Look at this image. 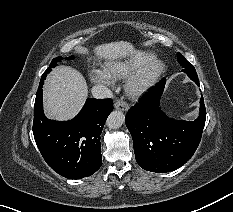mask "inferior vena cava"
<instances>
[{
	"label": "inferior vena cava",
	"instance_id": "1",
	"mask_svg": "<svg viewBox=\"0 0 233 212\" xmlns=\"http://www.w3.org/2000/svg\"><path fill=\"white\" fill-rule=\"evenodd\" d=\"M91 92L96 99L111 98L113 96L112 91L102 84L93 86Z\"/></svg>",
	"mask_w": 233,
	"mask_h": 212
}]
</instances>
